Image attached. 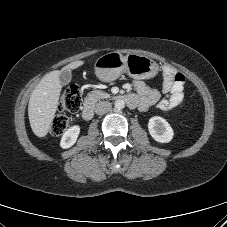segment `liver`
<instances>
[{"label":"liver","instance_id":"obj_1","mask_svg":"<svg viewBox=\"0 0 227 227\" xmlns=\"http://www.w3.org/2000/svg\"><path fill=\"white\" fill-rule=\"evenodd\" d=\"M84 61L72 62L62 70H73L82 66ZM61 70V71H62ZM60 70L47 73L31 93L28 104V116L33 133L38 137L47 135L55 117L62 85Z\"/></svg>","mask_w":227,"mask_h":227}]
</instances>
